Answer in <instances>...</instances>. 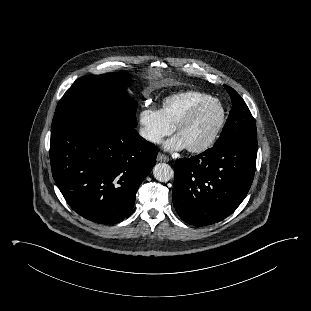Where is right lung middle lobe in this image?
<instances>
[{"label":"right lung middle lobe","instance_id":"dd1d6c3e","mask_svg":"<svg viewBox=\"0 0 311 311\" xmlns=\"http://www.w3.org/2000/svg\"><path fill=\"white\" fill-rule=\"evenodd\" d=\"M129 81L130 74L126 72L88 75L76 80L56 107L52 130L93 122L136 127L138 104L124 89Z\"/></svg>","mask_w":311,"mask_h":311}]
</instances>
